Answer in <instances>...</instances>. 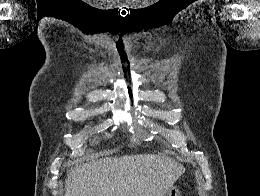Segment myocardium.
<instances>
[{
    "label": "myocardium",
    "instance_id": "1",
    "mask_svg": "<svg viewBox=\"0 0 260 196\" xmlns=\"http://www.w3.org/2000/svg\"><path fill=\"white\" fill-rule=\"evenodd\" d=\"M92 192H114V190H94Z\"/></svg>",
    "mask_w": 260,
    "mask_h": 196
}]
</instances>
